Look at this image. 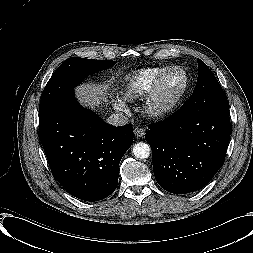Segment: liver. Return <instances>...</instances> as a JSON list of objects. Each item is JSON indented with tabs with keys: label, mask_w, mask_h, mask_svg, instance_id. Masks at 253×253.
<instances>
[{
	"label": "liver",
	"mask_w": 253,
	"mask_h": 253,
	"mask_svg": "<svg viewBox=\"0 0 253 253\" xmlns=\"http://www.w3.org/2000/svg\"><path fill=\"white\" fill-rule=\"evenodd\" d=\"M76 96L80 102L91 109L98 108L105 93L101 85L84 83L75 88Z\"/></svg>",
	"instance_id": "1"
}]
</instances>
